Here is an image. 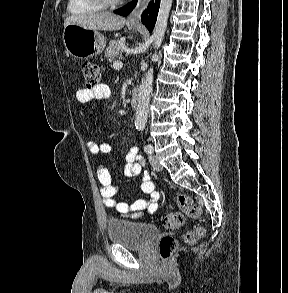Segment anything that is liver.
Wrapping results in <instances>:
<instances>
[{"mask_svg":"<svg viewBox=\"0 0 288 293\" xmlns=\"http://www.w3.org/2000/svg\"><path fill=\"white\" fill-rule=\"evenodd\" d=\"M71 23L94 30L117 31L124 27L126 20L109 12H97L70 15L64 20V27Z\"/></svg>","mask_w":288,"mask_h":293,"instance_id":"liver-1","label":"liver"}]
</instances>
